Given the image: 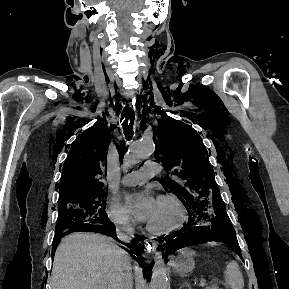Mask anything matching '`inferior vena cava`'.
<instances>
[{
	"label": "inferior vena cava",
	"mask_w": 289,
	"mask_h": 289,
	"mask_svg": "<svg viewBox=\"0 0 289 289\" xmlns=\"http://www.w3.org/2000/svg\"><path fill=\"white\" fill-rule=\"evenodd\" d=\"M119 238L130 240L134 237V229L130 224H125L117 228ZM118 289H133V276L130 263H126L121 271Z\"/></svg>",
	"instance_id": "1"
}]
</instances>
